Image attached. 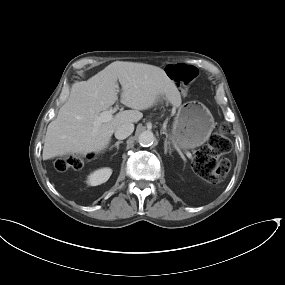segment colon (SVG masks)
<instances>
[{"label": "colon", "mask_w": 285, "mask_h": 285, "mask_svg": "<svg viewBox=\"0 0 285 285\" xmlns=\"http://www.w3.org/2000/svg\"><path fill=\"white\" fill-rule=\"evenodd\" d=\"M166 69L178 84H187L193 78V67L191 66L169 64ZM228 129L227 125H220L208 143L201 146L196 153L193 168L206 181L221 182L230 170L229 160L221 157L228 154L232 149V144L227 137ZM82 165L83 159L78 155H63L55 162V167L59 171L80 169Z\"/></svg>", "instance_id": "obj_1"}]
</instances>
